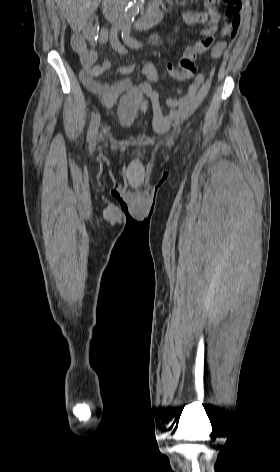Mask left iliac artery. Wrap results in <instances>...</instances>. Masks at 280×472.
I'll list each match as a JSON object with an SVG mask.
<instances>
[{"label": "left iliac artery", "mask_w": 280, "mask_h": 472, "mask_svg": "<svg viewBox=\"0 0 280 472\" xmlns=\"http://www.w3.org/2000/svg\"><path fill=\"white\" fill-rule=\"evenodd\" d=\"M129 33H130V28L128 26H124L122 28V38H123L124 42L127 45H129L130 47H133V48L140 47V43H138L134 39L130 38Z\"/></svg>", "instance_id": "obj_1"}]
</instances>
